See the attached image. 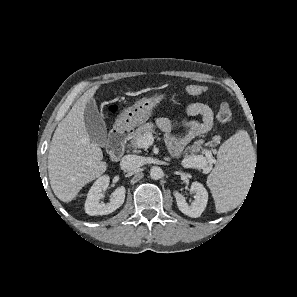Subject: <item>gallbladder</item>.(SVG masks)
I'll return each instance as SVG.
<instances>
[{
    "label": "gallbladder",
    "instance_id": "obj_1",
    "mask_svg": "<svg viewBox=\"0 0 297 297\" xmlns=\"http://www.w3.org/2000/svg\"><path fill=\"white\" fill-rule=\"evenodd\" d=\"M84 123L89 137L100 147H105L107 128L94 99H90L86 104Z\"/></svg>",
    "mask_w": 297,
    "mask_h": 297
}]
</instances>
